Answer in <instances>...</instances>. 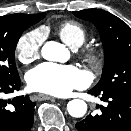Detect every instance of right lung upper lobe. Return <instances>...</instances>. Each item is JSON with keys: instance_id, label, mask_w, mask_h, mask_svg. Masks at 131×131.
<instances>
[{"instance_id": "cb5924a9", "label": "right lung upper lobe", "mask_w": 131, "mask_h": 131, "mask_svg": "<svg viewBox=\"0 0 131 131\" xmlns=\"http://www.w3.org/2000/svg\"><path fill=\"white\" fill-rule=\"evenodd\" d=\"M46 14L45 13H39V14H12V15H6L1 16L0 19L5 20H11V21H17V22H31V23H37L41 19L44 18Z\"/></svg>"}]
</instances>
